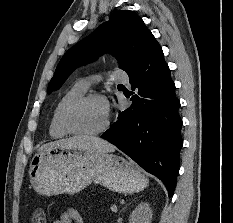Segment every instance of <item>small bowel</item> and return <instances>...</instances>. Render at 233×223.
<instances>
[{"instance_id": "1", "label": "small bowel", "mask_w": 233, "mask_h": 223, "mask_svg": "<svg viewBox=\"0 0 233 223\" xmlns=\"http://www.w3.org/2000/svg\"><path fill=\"white\" fill-rule=\"evenodd\" d=\"M54 223H84V220L77 209L68 208L61 213L59 219L55 220Z\"/></svg>"}]
</instances>
